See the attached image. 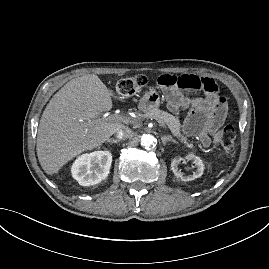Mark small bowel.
Instances as JSON below:
<instances>
[{"instance_id":"1","label":"small bowel","mask_w":269,"mask_h":269,"mask_svg":"<svg viewBox=\"0 0 269 269\" xmlns=\"http://www.w3.org/2000/svg\"><path fill=\"white\" fill-rule=\"evenodd\" d=\"M156 83L166 90L184 88L202 89L206 92L205 98L187 99L178 91H172L169 104L173 110H177L184 103L191 105L184 129L186 133L196 135L200 144L207 147L210 144L211 132L228 117L226 100L218 94L215 79L211 76L164 74L156 78Z\"/></svg>"}]
</instances>
